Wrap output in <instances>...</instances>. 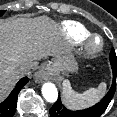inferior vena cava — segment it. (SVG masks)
<instances>
[{"instance_id": "inferior-vena-cava-1", "label": "inferior vena cava", "mask_w": 117, "mask_h": 117, "mask_svg": "<svg viewBox=\"0 0 117 117\" xmlns=\"http://www.w3.org/2000/svg\"><path fill=\"white\" fill-rule=\"evenodd\" d=\"M20 71L23 73V74H28L30 72V67L29 66H21L20 67Z\"/></svg>"}]
</instances>
